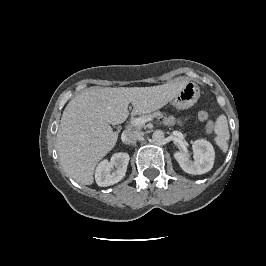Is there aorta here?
Masks as SVG:
<instances>
[{
  "mask_svg": "<svg viewBox=\"0 0 266 266\" xmlns=\"http://www.w3.org/2000/svg\"><path fill=\"white\" fill-rule=\"evenodd\" d=\"M164 132L162 130H156L154 131L153 135H152V139L155 143H162V141L164 140Z\"/></svg>",
  "mask_w": 266,
  "mask_h": 266,
  "instance_id": "obj_1",
  "label": "aorta"
}]
</instances>
